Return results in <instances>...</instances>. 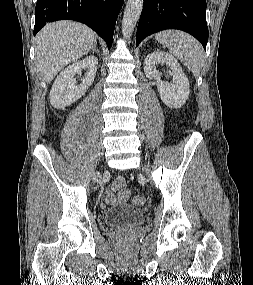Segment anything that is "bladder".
Listing matches in <instances>:
<instances>
[{"instance_id":"obj_1","label":"bladder","mask_w":253,"mask_h":285,"mask_svg":"<svg viewBox=\"0 0 253 285\" xmlns=\"http://www.w3.org/2000/svg\"><path fill=\"white\" fill-rule=\"evenodd\" d=\"M103 220L109 228H131L142 224L145 220L141 209L130 205L108 208L103 212Z\"/></svg>"}]
</instances>
